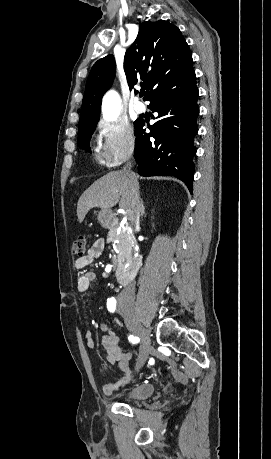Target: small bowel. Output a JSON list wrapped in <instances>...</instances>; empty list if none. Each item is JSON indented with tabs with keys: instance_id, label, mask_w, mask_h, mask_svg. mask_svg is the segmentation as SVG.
Instances as JSON below:
<instances>
[{
	"instance_id": "1",
	"label": "small bowel",
	"mask_w": 271,
	"mask_h": 459,
	"mask_svg": "<svg viewBox=\"0 0 271 459\" xmlns=\"http://www.w3.org/2000/svg\"><path fill=\"white\" fill-rule=\"evenodd\" d=\"M105 241L103 239L96 240L93 245L88 249L87 253L78 258L75 262V267L78 270L84 269L86 266L95 261L104 251ZM96 280V274L91 271H84L78 276L77 290L79 292H86L93 281ZM99 328L104 335L101 339V344L105 350V359L109 364H117L119 367V377L113 381L104 384L102 393L105 396H110L113 393L122 389L133 378V371L130 368L129 362L131 355L125 352L120 346V340L117 335L110 332L107 323H100ZM87 345L90 348L94 347V338L90 331L85 333Z\"/></svg>"
}]
</instances>
